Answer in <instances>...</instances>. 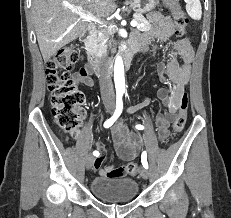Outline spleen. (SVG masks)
<instances>
[{"label": "spleen", "instance_id": "obj_1", "mask_svg": "<svg viewBox=\"0 0 231 218\" xmlns=\"http://www.w3.org/2000/svg\"><path fill=\"white\" fill-rule=\"evenodd\" d=\"M186 11L188 15L194 20H200L202 17V8L200 0H185Z\"/></svg>", "mask_w": 231, "mask_h": 218}]
</instances>
